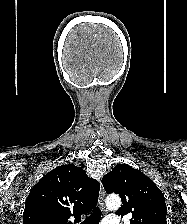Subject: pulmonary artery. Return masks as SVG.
Instances as JSON below:
<instances>
[{"label":"pulmonary artery","mask_w":187,"mask_h":224,"mask_svg":"<svg viewBox=\"0 0 187 224\" xmlns=\"http://www.w3.org/2000/svg\"><path fill=\"white\" fill-rule=\"evenodd\" d=\"M102 224H119V221L116 217H107Z\"/></svg>","instance_id":"pulmonary-artery-1"}]
</instances>
